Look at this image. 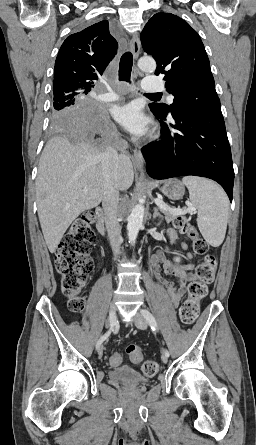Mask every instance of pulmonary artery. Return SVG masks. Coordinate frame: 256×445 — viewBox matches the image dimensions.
I'll return each mask as SVG.
<instances>
[{"mask_svg": "<svg viewBox=\"0 0 256 445\" xmlns=\"http://www.w3.org/2000/svg\"><path fill=\"white\" fill-rule=\"evenodd\" d=\"M142 88L145 92H161L164 84L159 77L148 76L145 77L142 83ZM119 96L112 91L103 94L102 99L107 102L115 101ZM168 101L172 102V97H168Z\"/></svg>", "mask_w": 256, "mask_h": 445, "instance_id": "1", "label": "pulmonary artery"}]
</instances>
